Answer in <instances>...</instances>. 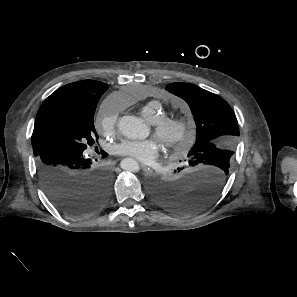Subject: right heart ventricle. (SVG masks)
<instances>
[{
	"label": "right heart ventricle",
	"mask_w": 297,
	"mask_h": 297,
	"mask_svg": "<svg viewBox=\"0 0 297 297\" xmlns=\"http://www.w3.org/2000/svg\"><path fill=\"white\" fill-rule=\"evenodd\" d=\"M140 113L147 121L153 123L159 118L165 116L163 102L158 99L151 100L141 106Z\"/></svg>",
	"instance_id": "e07e8e85"
}]
</instances>
